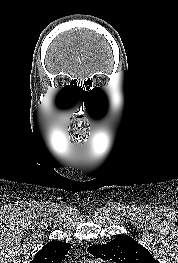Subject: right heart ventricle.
Segmentation results:
<instances>
[{
  "label": "right heart ventricle",
  "mask_w": 178,
  "mask_h": 263,
  "mask_svg": "<svg viewBox=\"0 0 178 263\" xmlns=\"http://www.w3.org/2000/svg\"><path fill=\"white\" fill-rule=\"evenodd\" d=\"M87 263H100V262H98V261H89Z\"/></svg>",
  "instance_id": "1"
}]
</instances>
